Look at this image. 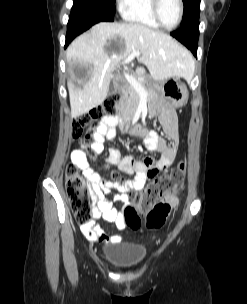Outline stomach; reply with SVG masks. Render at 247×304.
Masks as SVG:
<instances>
[{
    "mask_svg": "<svg viewBox=\"0 0 247 304\" xmlns=\"http://www.w3.org/2000/svg\"><path fill=\"white\" fill-rule=\"evenodd\" d=\"M160 94L170 103L174 108L184 106L188 100V90L184 83L179 78L166 82L158 87Z\"/></svg>",
    "mask_w": 247,
    "mask_h": 304,
    "instance_id": "0dacf381",
    "label": "stomach"
}]
</instances>
